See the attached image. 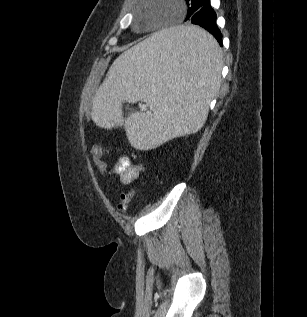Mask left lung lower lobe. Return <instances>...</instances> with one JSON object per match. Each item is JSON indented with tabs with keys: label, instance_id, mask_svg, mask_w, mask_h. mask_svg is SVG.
<instances>
[{
	"label": "left lung lower lobe",
	"instance_id": "left-lung-lower-lobe-1",
	"mask_svg": "<svg viewBox=\"0 0 307 317\" xmlns=\"http://www.w3.org/2000/svg\"><path fill=\"white\" fill-rule=\"evenodd\" d=\"M216 13L211 7L210 0H200L196 5L195 12L189 18L192 24L199 25L211 33L220 46H222V35L216 24ZM174 48L187 49L204 59L214 58V48L198 39L190 36H175L170 39Z\"/></svg>",
	"mask_w": 307,
	"mask_h": 317
}]
</instances>
